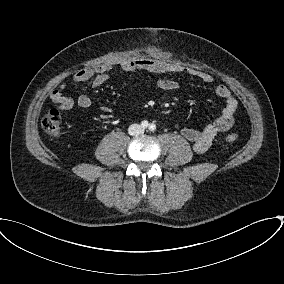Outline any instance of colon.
I'll use <instances>...</instances> for the list:
<instances>
[{
  "mask_svg": "<svg viewBox=\"0 0 284 284\" xmlns=\"http://www.w3.org/2000/svg\"><path fill=\"white\" fill-rule=\"evenodd\" d=\"M43 130L50 136H59L62 130V117L56 109H51L46 113L41 121ZM226 141L233 144L237 141V135L234 133L226 136Z\"/></svg>",
  "mask_w": 284,
  "mask_h": 284,
  "instance_id": "colon-1",
  "label": "colon"
}]
</instances>
